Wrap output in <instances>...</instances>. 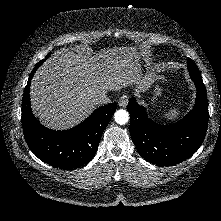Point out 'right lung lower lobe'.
Masks as SVG:
<instances>
[{
	"label": "right lung lower lobe",
	"mask_w": 221,
	"mask_h": 221,
	"mask_svg": "<svg viewBox=\"0 0 221 221\" xmlns=\"http://www.w3.org/2000/svg\"><path fill=\"white\" fill-rule=\"evenodd\" d=\"M37 69L28 79L22 101V127L30 150L43 162L60 169L81 167L94 157L100 138L108 125L117 103L95 110L87 119L74 128L55 131L44 127L32 114L30 84Z\"/></svg>",
	"instance_id": "1"
}]
</instances>
